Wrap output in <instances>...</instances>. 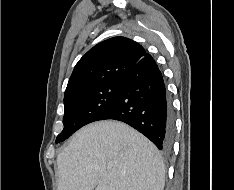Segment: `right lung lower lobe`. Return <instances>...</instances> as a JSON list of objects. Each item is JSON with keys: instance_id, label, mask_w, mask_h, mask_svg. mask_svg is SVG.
I'll return each instance as SVG.
<instances>
[{"instance_id": "1", "label": "right lung lower lobe", "mask_w": 234, "mask_h": 190, "mask_svg": "<svg viewBox=\"0 0 234 190\" xmlns=\"http://www.w3.org/2000/svg\"><path fill=\"white\" fill-rule=\"evenodd\" d=\"M122 121L169 151L174 136V115L163 76L150 54L140 59L122 78L116 101L97 121Z\"/></svg>"}]
</instances>
